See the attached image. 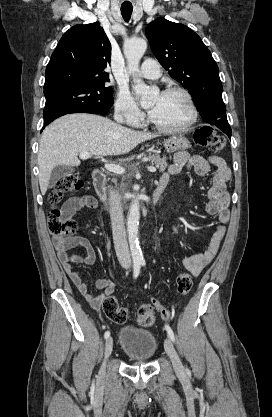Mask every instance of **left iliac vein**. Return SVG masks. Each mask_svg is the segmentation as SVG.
I'll use <instances>...</instances> for the list:
<instances>
[{
	"label": "left iliac vein",
	"mask_w": 272,
	"mask_h": 417,
	"mask_svg": "<svg viewBox=\"0 0 272 417\" xmlns=\"http://www.w3.org/2000/svg\"><path fill=\"white\" fill-rule=\"evenodd\" d=\"M164 348L166 353L168 354V356L171 359V362L173 364L174 369L177 372H182L183 371V365L179 359V356L171 342V340L169 338H166L164 341Z\"/></svg>",
	"instance_id": "left-iliac-vein-1"
}]
</instances>
